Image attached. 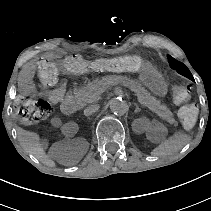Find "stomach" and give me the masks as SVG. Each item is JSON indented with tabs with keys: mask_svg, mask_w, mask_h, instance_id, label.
Segmentation results:
<instances>
[{
	"mask_svg": "<svg viewBox=\"0 0 211 211\" xmlns=\"http://www.w3.org/2000/svg\"><path fill=\"white\" fill-rule=\"evenodd\" d=\"M141 82L151 91L159 96H165L167 85L161 75L155 73H146L140 76Z\"/></svg>",
	"mask_w": 211,
	"mask_h": 211,
	"instance_id": "obj_1",
	"label": "stomach"
}]
</instances>
